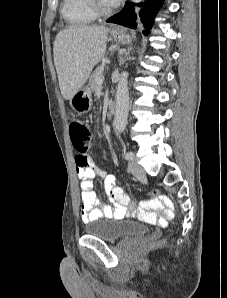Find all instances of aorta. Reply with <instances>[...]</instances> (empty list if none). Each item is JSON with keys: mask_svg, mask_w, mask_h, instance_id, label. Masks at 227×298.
<instances>
[{"mask_svg": "<svg viewBox=\"0 0 227 298\" xmlns=\"http://www.w3.org/2000/svg\"><path fill=\"white\" fill-rule=\"evenodd\" d=\"M139 3L142 0H132ZM128 73L123 72L118 82L116 91V110L113 125L118 132H123L128 118L129 92H128Z\"/></svg>", "mask_w": 227, "mask_h": 298, "instance_id": "762f6f07", "label": "aorta"}]
</instances>
